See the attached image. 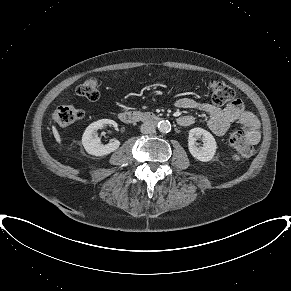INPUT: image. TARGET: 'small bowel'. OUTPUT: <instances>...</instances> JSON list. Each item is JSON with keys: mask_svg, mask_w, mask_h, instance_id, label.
Instances as JSON below:
<instances>
[{"mask_svg": "<svg viewBox=\"0 0 291 291\" xmlns=\"http://www.w3.org/2000/svg\"><path fill=\"white\" fill-rule=\"evenodd\" d=\"M176 106L182 109H199L209 115L207 126L209 130L217 135H224L232 122L238 121L245 129V134L252 144L260 140L259 121L257 117L245 109L240 99H235L224 108H220L211 103L198 102L191 98H180L176 101ZM194 122L191 115H182L178 118L181 126H190Z\"/></svg>", "mask_w": 291, "mask_h": 291, "instance_id": "1", "label": "small bowel"}]
</instances>
